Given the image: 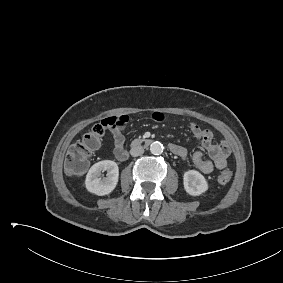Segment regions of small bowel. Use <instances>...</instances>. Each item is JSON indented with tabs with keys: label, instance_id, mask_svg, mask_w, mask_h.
I'll return each mask as SVG.
<instances>
[{
	"label": "small bowel",
	"instance_id": "c3829d8e",
	"mask_svg": "<svg viewBox=\"0 0 283 283\" xmlns=\"http://www.w3.org/2000/svg\"><path fill=\"white\" fill-rule=\"evenodd\" d=\"M152 118L154 121L160 122L163 120V114L154 112ZM127 122L128 116L126 115L107 117L101 122L113 135V153L118 160H125L128 155L123 134ZM190 130L208 156V158H205L200 150L194 152L192 155L194 165L203 173H211L214 169H224L231 153L230 145L226 141L214 143L212 131L201 127L195 122L190 123ZM170 150L182 160H186L188 157L187 149L179 144H171Z\"/></svg>",
	"mask_w": 283,
	"mask_h": 283
}]
</instances>
